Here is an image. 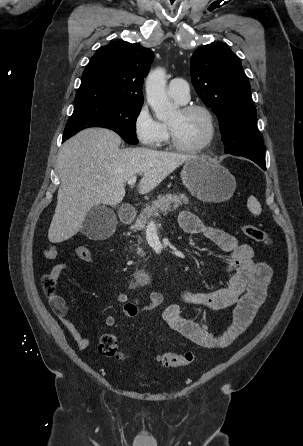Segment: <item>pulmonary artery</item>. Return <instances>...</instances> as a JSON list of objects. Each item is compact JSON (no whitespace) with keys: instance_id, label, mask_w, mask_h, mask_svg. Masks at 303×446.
Returning <instances> with one entry per match:
<instances>
[{"instance_id":"obj_1","label":"pulmonary artery","mask_w":303,"mask_h":446,"mask_svg":"<svg viewBox=\"0 0 303 446\" xmlns=\"http://www.w3.org/2000/svg\"><path fill=\"white\" fill-rule=\"evenodd\" d=\"M167 91L172 98L182 103L189 100V85L188 82L182 78H173L170 80Z\"/></svg>"}]
</instances>
